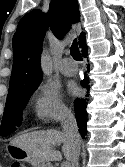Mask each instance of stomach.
<instances>
[{
	"label": "stomach",
	"instance_id": "1",
	"mask_svg": "<svg viewBox=\"0 0 125 167\" xmlns=\"http://www.w3.org/2000/svg\"><path fill=\"white\" fill-rule=\"evenodd\" d=\"M7 151H8V155L13 160L29 162L33 167H52L48 162L32 156L31 154H29L24 149L18 146L10 144L8 146Z\"/></svg>",
	"mask_w": 125,
	"mask_h": 167
}]
</instances>
